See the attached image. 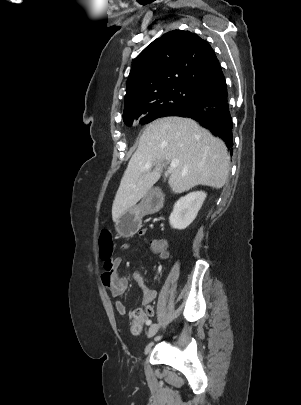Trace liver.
<instances>
[{
    "label": "liver",
    "mask_w": 301,
    "mask_h": 405,
    "mask_svg": "<svg viewBox=\"0 0 301 405\" xmlns=\"http://www.w3.org/2000/svg\"><path fill=\"white\" fill-rule=\"evenodd\" d=\"M178 160L171 170L169 186L182 193L197 185L222 188L229 173V157L224 142L182 117L157 119L144 129L136 152L131 157L112 205L116 223L159 180L165 161ZM151 162L155 168L146 170Z\"/></svg>",
    "instance_id": "6515ba94"
}]
</instances>
